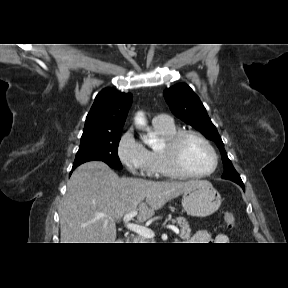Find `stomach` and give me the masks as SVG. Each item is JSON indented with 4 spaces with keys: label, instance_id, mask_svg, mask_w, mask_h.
<instances>
[{
    "label": "stomach",
    "instance_id": "stomach-1",
    "mask_svg": "<svg viewBox=\"0 0 288 288\" xmlns=\"http://www.w3.org/2000/svg\"><path fill=\"white\" fill-rule=\"evenodd\" d=\"M221 195L207 181H199L192 189L183 193L182 206L188 215L207 217L221 205Z\"/></svg>",
    "mask_w": 288,
    "mask_h": 288
}]
</instances>
